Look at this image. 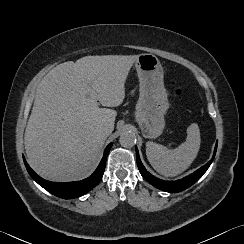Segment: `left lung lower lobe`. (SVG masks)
I'll return each instance as SVG.
<instances>
[{
	"label": "left lung lower lobe",
	"instance_id": "1",
	"mask_svg": "<svg viewBox=\"0 0 244 244\" xmlns=\"http://www.w3.org/2000/svg\"><path fill=\"white\" fill-rule=\"evenodd\" d=\"M216 149H217V144L215 146L214 155L207 164H205L204 166H202L201 168H199L197 171L190 174L189 176H186L183 179L177 181H170V182L163 181L151 175L143 166L139 157L138 149L136 147L137 165L143 178L153 186L165 192H170V193L180 192L193 185L196 181H198L203 176V174L207 171V169L209 168V166L211 165L214 159V156L216 154Z\"/></svg>",
	"mask_w": 244,
	"mask_h": 244
}]
</instances>
